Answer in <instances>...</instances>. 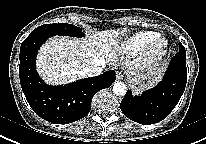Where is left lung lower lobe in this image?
Here are the masks:
<instances>
[{
  "instance_id": "0a47b994",
  "label": "left lung lower lobe",
  "mask_w": 206,
  "mask_h": 144,
  "mask_svg": "<svg viewBox=\"0 0 206 144\" xmlns=\"http://www.w3.org/2000/svg\"><path fill=\"white\" fill-rule=\"evenodd\" d=\"M187 82L186 51L179 43L162 81L140 96L128 90L121 101L122 113L139 124L151 125L162 121L179 102Z\"/></svg>"
}]
</instances>
